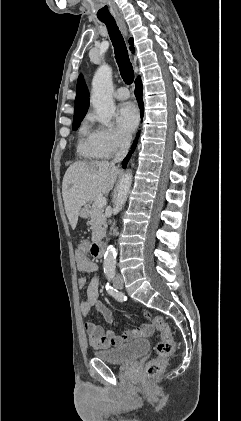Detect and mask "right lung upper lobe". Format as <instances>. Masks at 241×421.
Here are the masks:
<instances>
[{
  "label": "right lung upper lobe",
  "instance_id": "1",
  "mask_svg": "<svg viewBox=\"0 0 241 421\" xmlns=\"http://www.w3.org/2000/svg\"><path fill=\"white\" fill-rule=\"evenodd\" d=\"M129 44L133 45V38L129 39ZM134 50V47H130ZM89 107V93L83 77L80 75L77 81L74 118L85 116Z\"/></svg>",
  "mask_w": 241,
  "mask_h": 421
}]
</instances>
